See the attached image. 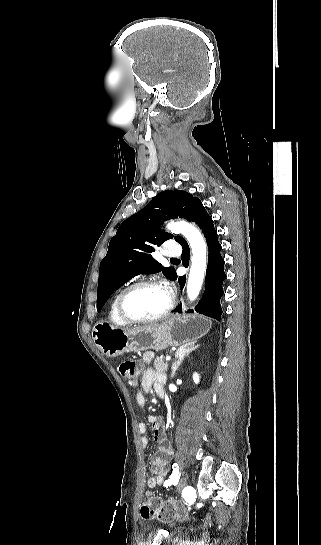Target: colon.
<instances>
[{"mask_svg":"<svg viewBox=\"0 0 321 545\" xmlns=\"http://www.w3.org/2000/svg\"><path fill=\"white\" fill-rule=\"evenodd\" d=\"M118 371L125 379L129 387L136 385V364L131 360L120 362ZM140 514L144 519H157L163 522H172L185 516L184 508L172 502L164 501L154 494H147L140 508Z\"/></svg>","mask_w":321,"mask_h":545,"instance_id":"1","label":"colon"}]
</instances>
